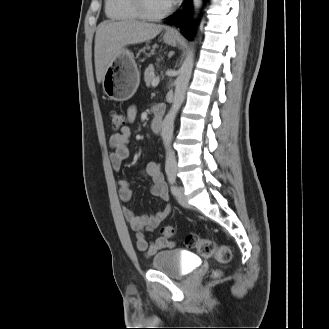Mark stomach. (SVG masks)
I'll return each instance as SVG.
<instances>
[{"mask_svg":"<svg viewBox=\"0 0 329 329\" xmlns=\"http://www.w3.org/2000/svg\"><path fill=\"white\" fill-rule=\"evenodd\" d=\"M166 44L175 46L176 37L165 34ZM140 83V73L132 53L122 49L116 59L107 67L102 86L104 93L113 101L123 102L130 99Z\"/></svg>","mask_w":329,"mask_h":329,"instance_id":"0dacf381","label":"stomach"}]
</instances>
